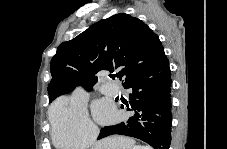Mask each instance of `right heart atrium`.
Segmentation results:
<instances>
[{
  "label": "right heart atrium",
  "mask_w": 227,
  "mask_h": 149,
  "mask_svg": "<svg viewBox=\"0 0 227 149\" xmlns=\"http://www.w3.org/2000/svg\"><path fill=\"white\" fill-rule=\"evenodd\" d=\"M51 134L55 146L75 149L93 144L98 127L85 105L75 98H60L49 111Z\"/></svg>",
  "instance_id": "1"
}]
</instances>
